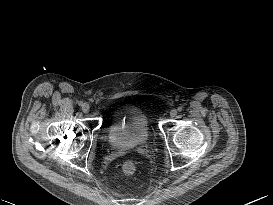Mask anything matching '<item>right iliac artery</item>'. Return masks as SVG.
Here are the masks:
<instances>
[{"mask_svg":"<svg viewBox=\"0 0 273 205\" xmlns=\"http://www.w3.org/2000/svg\"><path fill=\"white\" fill-rule=\"evenodd\" d=\"M78 105H79V106H82V102H81V101H79V102H78Z\"/></svg>","mask_w":273,"mask_h":205,"instance_id":"right-iliac-artery-1","label":"right iliac artery"}]
</instances>
